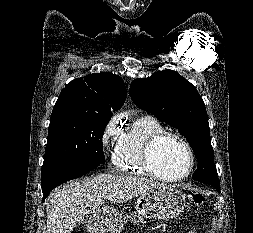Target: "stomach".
<instances>
[{
  "label": "stomach",
  "mask_w": 253,
  "mask_h": 233,
  "mask_svg": "<svg viewBox=\"0 0 253 233\" xmlns=\"http://www.w3.org/2000/svg\"><path fill=\"white\" fill-rule=\"evenodd\" d=\"M186 206V196L179 190L169 186L159 187L138 198L136 208L147 218L168 220L178 217ZM112 221H106L104 228L97 226L103 223L101 214L93 215L91 230L96 233H120L119 217L112 212Z\"/></svg>",
  "instance_id": "obj_1"
}]
</instances>
